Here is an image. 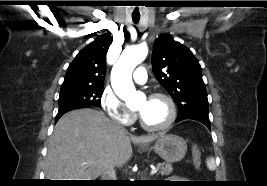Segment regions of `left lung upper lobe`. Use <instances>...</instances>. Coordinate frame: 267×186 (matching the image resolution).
Segmentation results:
<instances>
[{"instance_id":"5c2ea615","label":"left lung upper lobe","mask_w":267,"mask_h":186,"mask_svg":"<svg viewBox=\"0 0 267 186\" xmlns=\"http://www.w3.org/2000/svg\"><path fill=\"white\" fill-rule=\"evenodd\" d=\"M152 69L179 108L178 118L208 117V99L201 66L193 53L167 34L154 42Z\"/></svg>"}]
</instances>
